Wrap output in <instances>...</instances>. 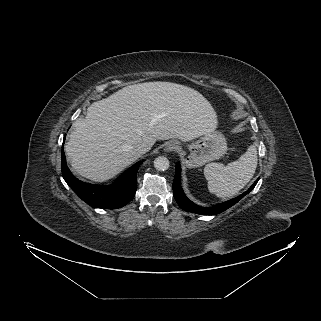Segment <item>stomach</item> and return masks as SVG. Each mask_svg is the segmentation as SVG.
<instances>
[{"label": "stomach", "mask_w": 321, "mask_h": 321, "mask_svg": "<svg viewBox=\"0 0 321 321\" xmlns=\"http://www.w3.org/2000/svg\"><path fill=\"white\" fill-rule=\"evenodd\" d=\"M188 149L190 155L186 161L187 166L200 167L222 157L227 151V141L223 134L213 130L189 144Z\"/></svg>", "instance_id": "1"}]
</instances>
